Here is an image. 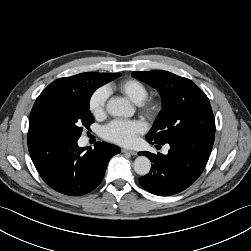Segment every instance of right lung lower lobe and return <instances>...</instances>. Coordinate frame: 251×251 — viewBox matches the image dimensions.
<instances>
[{
	"instance_id": "98d812e1",
	"label": "right lung lower lobe",
	"mask_w": 251,
	"mask_h": 251,
	"mask_svg": "<svg viewBox=\"0 0 251 251\" xmlns=\"http://www.w3.org/2000/svg\"><path fill=\"white\" fill-rule=\"evenodd\" d=\"M77 140L28 132L29 153L42 179L52 189L71 196L95 189L111 157L120 153L118 146L106 142H97L94 149L80 148Z\"/></svg>"
}]
</instances>
